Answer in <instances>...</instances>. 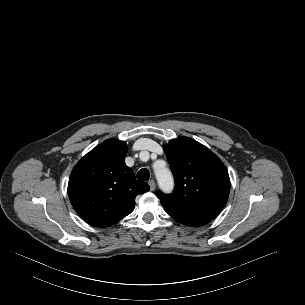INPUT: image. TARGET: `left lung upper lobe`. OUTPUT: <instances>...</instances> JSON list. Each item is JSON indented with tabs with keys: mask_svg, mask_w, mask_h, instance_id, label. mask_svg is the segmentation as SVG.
Instances as JSON below:
<instances>
[{
	"mask_svg": "<svg viewBox=\"0 0 305 305\" xmlns=\"http://www.w3.org/2000/svg\"><path fill=\"white\" fill-rule=\"evenodd\" d=\"M164 152L175 178L173 193L157 192L165 211L174 219L209 222L215 218L230 192L225 165L207 147L187 137L170 141Z\"/></svg>",
	"mask_w": 305,
	"mask_h": 305,
	"instance_id": "obj_1",
	"label": "left lung upper lobe"
}]
</instances>
